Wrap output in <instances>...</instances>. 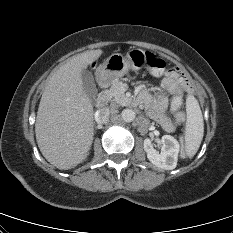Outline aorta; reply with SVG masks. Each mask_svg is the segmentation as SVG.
<instances>
[{"mask_svg":"<svg viewBox=\"0 0 233 233\" xmlns=\"http://www.w3.org/2000/svg\"><path fill=\"white\" fill-rule=\"evenodd\" d=\"M135 112L131 109H124L121 113V118L125 122H132L135 119Z\"/></svg>","mask_w":233,"mask_h":233,"instance_id":"obj_1","label":"aorta"}]
</instances>
